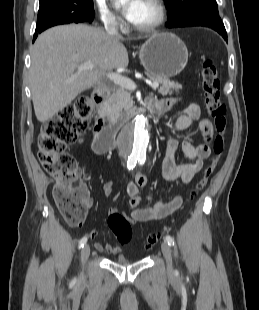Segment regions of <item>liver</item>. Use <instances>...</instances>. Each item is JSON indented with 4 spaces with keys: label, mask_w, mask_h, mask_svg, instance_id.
<instances>
[{
    "label": "liver",
    "mask_w": 259,
    "mask_h": 310,
    "mask_svg": "<svg viewBox=\"0 0 259 310\" xmlns=\"http://www.w3.org/2000/svg\"><path fill=\"white\" fill-rule=\"evenodd\" d=\"M104 30L87 25H62L43 32L31 50L30 84L35 115L46 122L80 93L96 85L106 72L126 68L128 53ZM91 62L94 69L79 70Z\"/></svg>",
    "instance_id": "obj_1"
}]
</instances>
